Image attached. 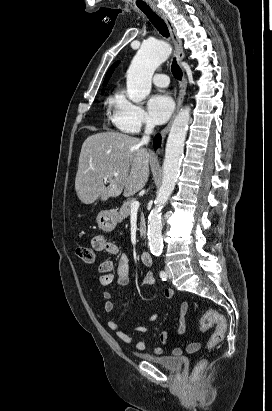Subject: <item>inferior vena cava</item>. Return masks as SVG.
Wrapping results in <instances>:
<instances>
[{
	"mask_svg": "<svg viewBox=\"0 0 272 411\" xmlns=\"http://www.w3.org/2000/svg\"><path fill=\"white\" fill-rule=\"evenodd\" d=\"M154 124L151 122H146L145 135L142 137L141 144H148L150 140V134L153 132Z\"/></svg>",
	"mask_w": 272,
	"mask_h": 411,
	"instance_id": "602c4592",
	"label": "inferior vena cava"
}]
</instances>
